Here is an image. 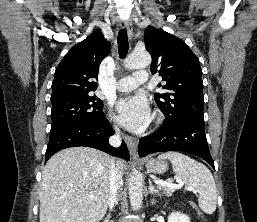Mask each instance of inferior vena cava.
I'll list each match as a JSON object with an SVG mask.
<instances>
[{"label": "inferior vena cava", "instance_id": "inferior-vena-cava-1", "mask_svg": "<svg viewBox=\"0 0 257 222\" xmlns=\"http://www.w3.org/2000/svg\"><path fill=\"white\" fill-rule=\"evenodd\" d=\"M115 131L116 133L109 138V143L114 147H119L122 143L120 138V131L117 127H115ZM109 176H110V191H109V197H108V205L112 210L114 205L117 204L118 192L122 186V175L118 170L114 159H111V162H110Z\"/></svg>", "mask_w": 257, "mask_h": 222}]
</instances>
